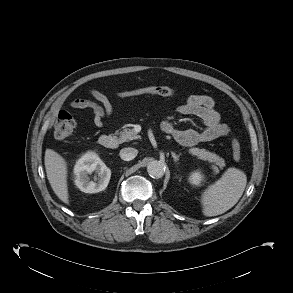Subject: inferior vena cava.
<instances>
[{
  "label": "inferior vena cava",
  "mask_w": 293,
  "mask_h": 293,
  "mask_svg": "<svg viewBox=\"0 0 293 293\" xmlns=\"http://www.w3.org/2000/svg\"><path fill=\"white\" fill-rule=\"evenodd\" d=\"M138 154V151L135 148H123L120 150V157L124 161L133 160Z\"/></svg>",
  "instance_id": "1"
}]
</instances>
